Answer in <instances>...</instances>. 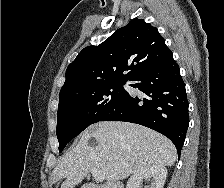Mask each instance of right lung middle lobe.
Returning <instances> with one entry per match:
<instances>
[{
    "label": "right lung middle lobe",
    "instance_id": "right-lung-middle-lobe-1",
    "mask_svg": "<svg viewBox=\"0 0 224 188\" xmlns=\"http://www.w3.org/2000/svg\"><path fill=\"white\" fill-rule=\"evenodd\" d=\"M125 83L112 81L60 92L56 130L59 152L70 140L89 125L99 122L126 98Z\"/></svg>",
    "mask_w": 224,
    "mask_h": 188
}]
</instances>
